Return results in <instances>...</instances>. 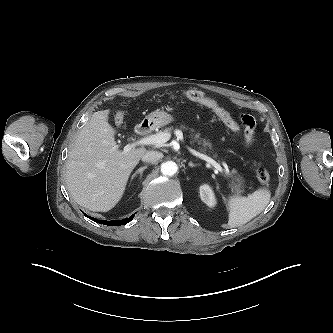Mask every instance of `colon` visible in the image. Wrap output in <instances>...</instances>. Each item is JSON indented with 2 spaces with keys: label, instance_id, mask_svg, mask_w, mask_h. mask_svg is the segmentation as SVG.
I'll list each match as a JSON object with an SVG mask.
<instances>
[{
  "label": "colon",
  "instance_id": "colon-1",
  "mask_svg": "<svg viewBox=\"0 0 333 333\" xmlns=\"http://www.w3.org/2000/svg\"><path fill=\"white\" fill-rule=\"evenodd\" d=\"M172 97H181L186 98L192 101L200 102L207 107H209L216 116L225 124V126L233 131L238 133L240 131V126L238 123L230 116V114L223 109L220 105H218L216 102H214L212 99L207 97L203 92L198 90H186L183 91L180 94L172 95ZM123 113L119 112L116 116V122L117 124H121L123 120ZM256 177L257 180L262 184H267L270 181V174L267 169L265 168H259L256 171Z\"/></svg>",
  "mask_w": 333,
  "mask_h": 333
}]
</instances>
